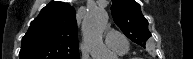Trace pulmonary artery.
<instances>
[{"label":"pulmonary artery","mask_w":193,"mask_h":59,"mask_svg":"<svg viewBox=\"0 0 193 59\" xmlns=\"http://www.w3.org/2000/svg\"><path fill=\"white\" fill-rule=\"evenodd\" d=\"M124 36L112 30L106 31V44L118 53H126L128 45L124 41Z\"/></svg>","instance_id":"pulmonary-artery-1"}]
</instances>
